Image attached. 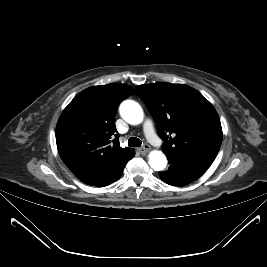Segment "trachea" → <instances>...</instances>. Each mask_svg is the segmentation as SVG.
<instances>
[{"label":"trachea","instance_id":"obj_1","mask_svg":"<svg viewBox=\"0 0 267 267\" xmlns=\"http://www.w3.org/2000/svg\"><path fill=\"white\" fill-rule=\"evenodd\" d=\"M141 145V140L136 137H130L128 140V146L130 147H140Z\"/></svg>","mask_w":267,"mask_h":267}]
</instances>
